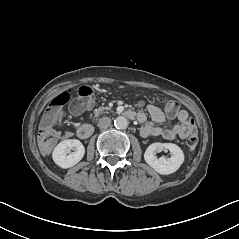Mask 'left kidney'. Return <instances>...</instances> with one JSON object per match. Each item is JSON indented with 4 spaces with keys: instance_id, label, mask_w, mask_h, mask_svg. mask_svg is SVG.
<instances>
[{
    "instance_id": "1",
    "label": "left kidney",
    "mask_w": 239,
    "mask_h": 239,
    "mask_svg": "<svg viewBox=\"0 0 239 239\" xmlns=\"http://www.w3.org/2000/svg\"><path fill=\"white\" fill-rule=\"evenodd\" d=\"M156 147L160 149L166 148L171 152V157L167 160L164 157L157 158L154 155ZM145 162L161 175H170L176 172L184 162V152L174 143H166L164 145H151L144 153Z\"/></svg>"
}]
</instances>
